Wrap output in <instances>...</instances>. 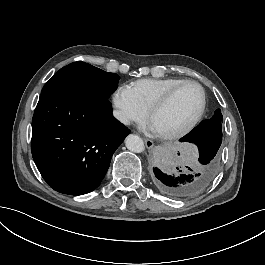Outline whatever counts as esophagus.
<instances>
[{
  "mask_svg": "<svg viewBox=\"0 0 265 265\" xmlns=\"http://www.w3.org/2000/svg\"><path fill=\"white\" fill-rule=\"evenodd\" d=\"M144 141H145L146 148L151 149L154 146L153 141H151L150 139H144Z\"/></svg>",
  "mask_w": 265,
  "mask_h": 265,
  "instance_id": "esophagus-1",
  "label": "esophagus"
}]
</instances>
